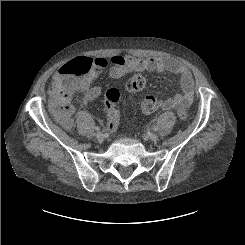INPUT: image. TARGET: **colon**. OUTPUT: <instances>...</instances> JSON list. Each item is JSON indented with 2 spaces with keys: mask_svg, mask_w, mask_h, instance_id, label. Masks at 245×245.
<instances>
[{
  "mask_svg": "<svg viewBox=\"0 0 245 245\" xmlns=\"http://www.w3.org/2000/svg\"><path fill=\"white\" fill-rule=\"evenodd\" d=\"M101 68L95 59L78 55L67 61L62 67L61 76L55 80L50 88V101L52 111L57 121L65 128L73 125L71 96L73 91H78L90 83L92 76ZM146 85L145 78L141 74L132 75L127 83L126 90L130 93H140ZM120 100V91L117 88L106 92L104 107L108 117V128L114 130L118 119L115 116ZM158 99L154 94H145L142 100V110L146 114L157 110ZM181 119H186L187 112L184 108L178 111Z\"/></svg>",
  "mask_w": 245,
  "mask_h": 245,
  "instance_id": "obj_1",
  "label": "colon"
}]
</instances>
